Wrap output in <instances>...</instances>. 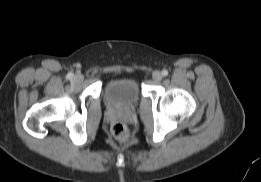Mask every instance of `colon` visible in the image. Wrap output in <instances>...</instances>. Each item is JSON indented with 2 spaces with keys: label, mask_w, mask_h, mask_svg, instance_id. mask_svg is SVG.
Segmentation results:
<instances>
[{
  "label": "colon",
  "mask_w": 261,
  "mask_h": 182,
  "mask_svg": "<svg viewBox=\"0 0 261 182\" xmlns=\"http://www.w3.org/2000/svg\"><path fill=\"white\" fill-rule=\"evenodd\" d=\"M112 134L116 139L122 142L128 141L130 137L128 127L122 122H115L112 125Z\"/></svg>",
  "instance_id": "obj_1"
}]
</instances>
